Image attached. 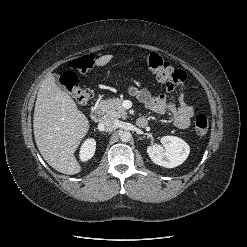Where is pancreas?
<instances>
[{"instance_id":"cf45deb5","label":"pancreas","mask_w":247,"mask_h":247,"mask_svg":"<svg viewBox=\"0 0 247 247\" xmlns=\"http://www.w3.org/2000/svg\"><path fill=\"white\" fill-rule=\"evenodd\" d=\"M123 100L120 98H112L102 100L99 103V109H101L106 116L114 117V118H125L126 117V110L122 106Z\"/></svg>"}]
</instances>
